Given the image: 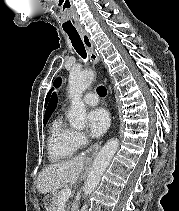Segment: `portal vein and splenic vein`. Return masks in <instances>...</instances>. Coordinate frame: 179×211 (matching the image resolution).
I'll list each match as a JSON object with an SVG mask.
<instances>
[{
  "mask_svg": "<svg viewBox=\"0 0 179 211\" xmlns=\"http://www.w3.org/2000/svg\"><path fill=\"white\" fill-rule=\"evenodd\" d=\"M71 189H65L60 192L59 201L65 202L71 195Z\"/></svg>",
  "mask_w": 179,
  "mask_h": 211,
  "instance_id": "18ae733b",
  "label": "portal vein and splenic vein"
}]
</instances>
